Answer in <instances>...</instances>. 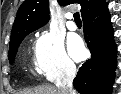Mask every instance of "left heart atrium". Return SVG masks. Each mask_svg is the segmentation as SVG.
Masks as SVG:
<instances>
[{
	"label": "left heart atrium",
	"instance_id": "left-heart-atrium-1",
	"mask_svg": "<svg viewBox=\"0 0 121 94\" xmlns=\"http://www.w3.org/2000/svg\"><path fill=\"white\" fill-rule=\"evenodd\" d=\"M69 51L72 57L77 60L82 59L84 57L85 50L79 37L72 36L69 39Z\"/></svg>",
	"mask_w": 121,
	"mask_h": 94
}]
</instances>
